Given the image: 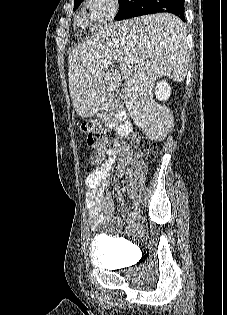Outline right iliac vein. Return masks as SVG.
<instances>
[{
    "label": "right iliac vein",
    "mask_w": 227,
    "mask_h": 315,
    "mask_svg": "<svg viewBox=\"0 0 227 315\" xmlns=\"http://www.w3.org/2000/svg\"><path fill=\"white\" fill-rule=\"evenodd\" d=\"M139 217H140V210L137 209L135 212L132 213L131 220H132V221H135V220H137Z\"/></svg>",
    "instance_id": "63e3f726"
}]
</instances>
